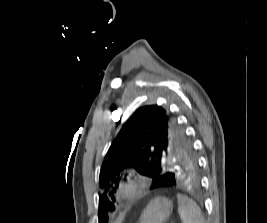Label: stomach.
<instances>
[{"label": "stomach", "instance_id": "1", "mask_svg": "<svg viewBox=\"0 0 267 223\" xmlns=\"http://www.w3.org/2000/svg\"><path fill=\"white\" fill-rule=\"evenodd\" d=\"M173 209L171 200L165 197H157L143 210L139 223H165Z\"/></svg>", "mask_w": 267, "mask_h": 223}]
</instances>
